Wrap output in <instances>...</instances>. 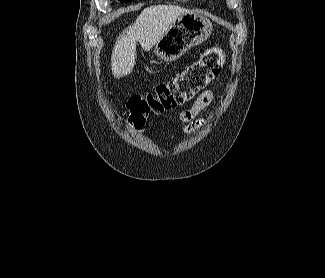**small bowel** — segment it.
<instances>
[{
    "label": "small bowel",
    "mask_w": 325,
    "mask_h": 278,
    "mask_svg": "<svg viewBox=\"0 0 325 278\" xmlns=\"http://www.w3.org/2000/svg\"><path fill=\"white\" fill-rule=\"evenodd\" d=\"M213 97V92L211 90L203 91L192 107L180 114L179 120L185 125V132H192L203 124L204 119L198 118V115L211 104Z\"/></svg>",
    "instance_id": "obj_1"
}]
</instances>
